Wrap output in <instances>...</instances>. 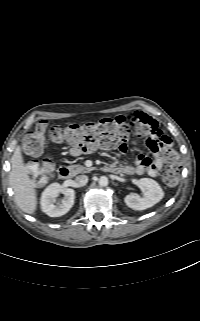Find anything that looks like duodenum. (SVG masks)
Returning <instances> with one entry per match:
<instances>
[{"instance_id":"duodenum-1","label":"duodenum","mask_w":200,"mask_h":321,"mask_svg":"<svg viewBox=\"0 0 200 321\" xmlns=\"http://www.w3.org/2000/svg\"><path fill=\"white\" fill-rule=\"evenodd\" d=\"M105 169L109 172L118 173V169L116 167L111 166V167H106ZM58 175L61 179L68 180L71 178L72 172L68 167L62 166L59 168Z\"/></svg>"}]
</instances>
